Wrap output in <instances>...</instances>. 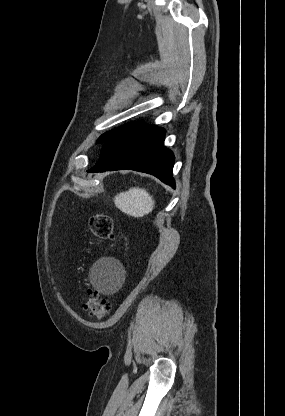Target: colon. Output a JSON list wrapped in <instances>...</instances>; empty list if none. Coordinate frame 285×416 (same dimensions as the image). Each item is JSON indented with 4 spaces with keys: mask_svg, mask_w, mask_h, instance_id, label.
I'll use <instances>...</instances> for the list:
<instances>
[{
    "mask_svg": "<svg viewBox=\"0 0 285 416\" xmlns=\"http://www.w3.org/2000/svg\"><path fill=\"white\" fill-rule=\"evenodd\" d=\"M89 228L96 239H110L113 234L112 218L107 214L93 215L89 220ZM87 295V308L93 317L102 319L109 314L111 306L103 294L90 289Z\"/></svg>",
    "mask_w": 285,
    "mask_h": 416,
    "instance_id": "5ec220e1",
    "label": "colon"
}]
</instances>
